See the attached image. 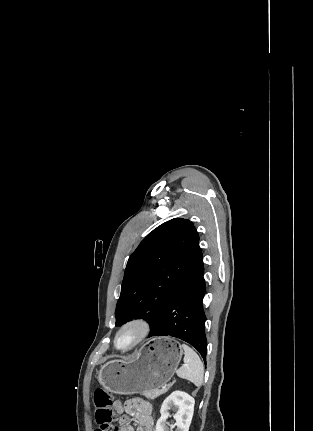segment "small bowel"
I'll use <instances>...</instances> for the list:
<instances>
[{
    "label": "small bowel",
    "instance_id": "small-bowel-1",
    "mask_svg": "<svg viewBox=\"0 0 313 431\" xmlns=\"http://www.w3.org/2000/svg\"><path fill=\"white\" fill-rule=\"evenodd\" d=\"M114 409L119 413L118 431H153V418L151 405L138 398L128 399L125 402H114ZM137 422V430L131 425V420Z\"/></svg>",
    "mask_w": 313,
    "mask_h": 431
}]
</instances>
